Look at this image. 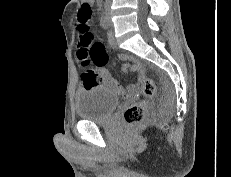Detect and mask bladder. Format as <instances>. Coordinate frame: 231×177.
Here are the masks:
<instances>
[{"instance_id":"bladder-1","label":"bladder","mask_w":231,"mask_h":177,"mask_svg":"<svg viewBox=\"0 0 231 177\" xmlns=\"http://www.w3.org/2000/svg\"><path fill=\"white\" fill-rule=\"evenodd\" d=\"M118 104V95L104 86H90L80 89L76 93V114L82 120L105 121L111 116Z\"/></svg>"}]
</instances>
